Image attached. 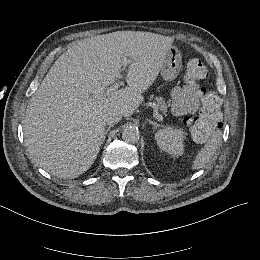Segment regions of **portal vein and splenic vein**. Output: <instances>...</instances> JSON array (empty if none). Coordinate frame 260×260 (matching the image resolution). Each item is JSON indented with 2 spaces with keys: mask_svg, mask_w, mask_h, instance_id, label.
Returning <instances> with one entry per match:
<instances>
[{
  "mask_svg": "<svg viewBox=\"0 0 260 260\" xmlns=\"http://www.w3.org/2000/svg\"><path fill=\"white\" fill-rule=\"evenodd\" d=\"M129 61L127 59H124L122 61V66L123 68H126L129 65ZM123 84L122 81L118 80L116 83H114L110 88L107 89L106 93L109 96H112L114 94L115 91H117L119 89V87ZM157 120L161 121L162 120V115L158 114L157 115Z\"/></svg>",
  "mask_w": 260,
  "mask_h": 260,
  "instance_id": "obj_1",
  "label": "portal vein and splenic vein"
}]
</instances>
